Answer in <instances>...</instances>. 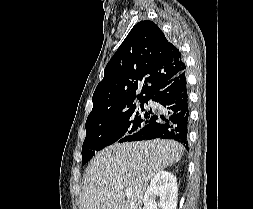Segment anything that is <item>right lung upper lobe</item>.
<instances>
[{
	"mask_svg": "<svg viewBox=\"0 0 253 209\" xmlns=\"http://www.w3.org/2000/svg\"><path fill=\"white\" fill-rule=\"evenodd\" d=\"M181 53L152 21L137 23L107 63L93 94L88 118L147 103L163 85L185 71ZM141 92L136 95V90Z\"/></svg>",
	"mask_w": 253,
	"mask_h": 209,
	"instance_id": "1",
	"label": "right lung upper lobe"
}]
</instances>
